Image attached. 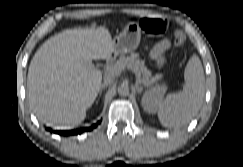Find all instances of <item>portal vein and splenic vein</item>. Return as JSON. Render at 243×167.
Returning a JSON list of instances; mask_svg holds the SVG:
<instances>
[{
    "mask_svg": "<svg viewBox=\"0 0 243 167\" xmlns=\"http://www.w3.org/2000/svg\"><path fill=\"white\" fill-rule=\"evenodd\" d=\"M106 71H107L110 75H119V74L123 71V69H122L120 66H116V65H114V66H112V67H110V68H107ZM137 81L140 83L139 80H137Z\"/></svg>",
    "mask_w": 243,
    "mask_h": 167,
    "instance_id": "obj_1",
    "label": "portal vein and splenic vein"
}]
</instances>
